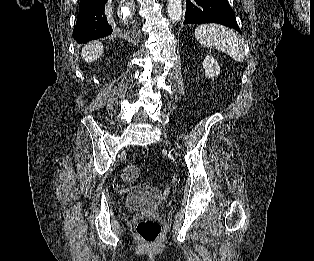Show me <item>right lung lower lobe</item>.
Wrapping results in <instances>:
<instances>
[{"label":"right lung lower lobe","mask_w":314,"mask_h":261,"mask_svg":"<svg viewBox=\"0 0 314 261\" xmlns=\"http://www.w3.org/2000/svg\"><path fill=\"white\" fill-rule=\"evenodd\" d=\"M106 2L107 0H80V11L73 30V38L77 43H86L113 32L105 15Z\"/></svg>","instance_id":"1"}]
</instances>
